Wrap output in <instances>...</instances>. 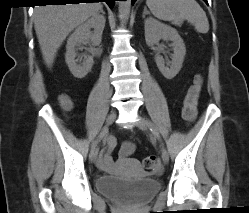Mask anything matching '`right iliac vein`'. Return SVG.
Here are the masks:
<instances>
[{"label": "right iliac vein", "mask_w": 249, "mask_h": 213, "mask_svg": "<svg viewBox=\"0 0 249 213\" xmlns=\"http://www.w3.org/2000/svg\"><path fill=\"white\" fill-rule=\"evenodd\" d=\"M115 119H116V112L114 111L110 112V114L108 115L106 119V125L107 126L111 125L115 121ZM97 154H98L97 147H95L94 149L90 151L89 159L91 162H94L96 160Z\"/></svg>", "instance_id": "63e3f726"}]
</instances>
